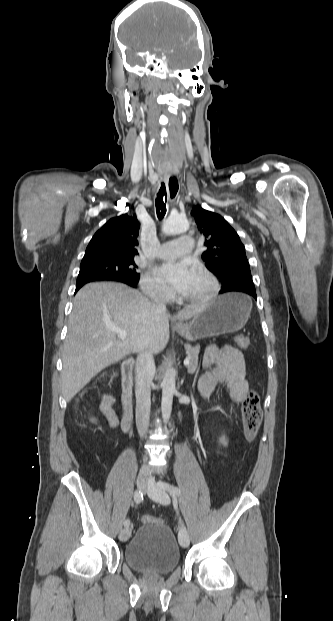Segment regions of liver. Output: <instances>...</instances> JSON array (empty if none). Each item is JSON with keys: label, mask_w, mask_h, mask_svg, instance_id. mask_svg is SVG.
Returning <instances> with one entry per match:
<instances>
[{"label": "liver", "mask_w": 333, "mask_h": 621, "mask_svg": "<svg viewBox=\"0 0 333 621\" xmlns=\"http://www.w3.org/2000/svg\"><path fill=\"white\" fill-rule=\"evenodd\" d=\"M208 302L187 306L175 316L183 321L199 314ZM169 318L138 290L100 282L81 288L73 302L63 346L62 393L66 402L101 370L134 352H162L169 341ZM127 333L120 339L111 328Z\"/></svg>", "instance_id": "1"}]
</instances>
